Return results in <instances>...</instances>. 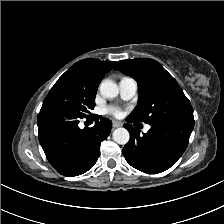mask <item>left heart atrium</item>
Here are the masks:
<instances>
[{
  "instance_id": "obj_1",
  "label": "left heart atrium",
  "mask_w": 224,
  "mask_h": 224,
  "mask_svg": "<svg viewBox=\"0 0 224 224\" xmlns=\"http://www.w3.org/2000/svg\"><path fill=\"white\" fill-rule=\"evenodd\" d=\"M106 112L108 114L113 115L114 117H117V118H120L123 115V112L121 111L120 108L113 107V106L107 107L106 108Z\"/></svg>"
}]
</instances>
